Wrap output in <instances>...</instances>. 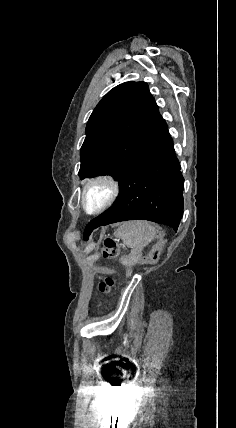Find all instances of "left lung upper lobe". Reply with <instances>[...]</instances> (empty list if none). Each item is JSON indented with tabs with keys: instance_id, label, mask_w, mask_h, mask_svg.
Listing matches in <instances>:
<instances>
[{
	"instance_id": "obj_1",
	"label": "left lung upper lobe",
	"mask_w": 236,
	"mask_h": 428,
	"mask_svg": "<svg viewBox=\"0 0 236 428\" xmlns=\"http://www.w3.org/2000/svg\"><path fill=\"white\" fill-rule=\"evenodd\" d=\"M161 118L145 82H125L95 107L81 147V179L109 174L119 182L151 129Z\"/></svg>"
}]
</instances>
